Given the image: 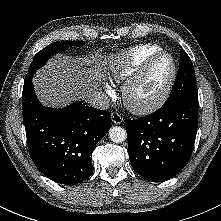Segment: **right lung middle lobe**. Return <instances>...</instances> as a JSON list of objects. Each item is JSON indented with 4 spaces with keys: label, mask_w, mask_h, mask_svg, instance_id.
I'll list each match as a JSON object with an SVG mask.
<instances>
[{
    "label": "right lung middle lobe",
    "mask_w": 221,
    "mask_h": 221,
    "mask_svg": "<svg viewBox=\"0 0 221 221\" xmlns=\"http://www.w3.org/2000/svg\"><path fill=\"white\" fill-rule=\"evenodd\" d=\"M81 45H83V41H62V42H54L49 44L47 47H45L35 55L28 69L27 76L33 77L36 70H38L41 66H43L51 56L64 50L67 46L78 47Z\"/></svg>",
    "instance_id": "1"
}]
</instances>
